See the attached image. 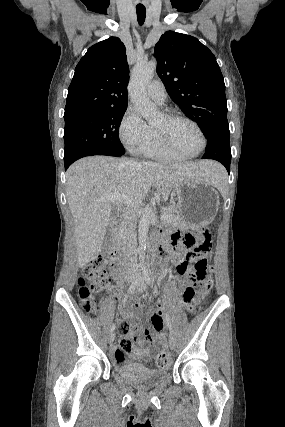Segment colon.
I'll list each match as a JSON object with an SVG mask.
<instances>
[{"instance_id": "obj_1", "label": "colon", "mask_w": 285, "mask_h": 427, "mask_svg": "<svg viewBox=\"0 0 285 427\" xmlns=\"http://www.w3.org/2000/svg\"><path fill=\"white\" fill-rule=\"evenodd\" d=\"M184 245L187 248H192L200 253H209L210 237L208 234L200 232H190L184 237ZM114 269V263L107 257H99L82 268V272L78 278L79 285V300L82 308L87 313H96L98 305L95 296L106 291L110 285L109 272ZM180 269L184 273H189L191 269L196 272L195 281L189 277L185 282V301L189 303H200L203 298L210 292L212 287L211 278H206V263L204 261H196L194 263L184 262ZM116 328L120 333V338L117 342V350L128 357H132L138 353L141 348L127 336L129 327L126 321H119ZM169 363V356L165 352H161L156 357V364L160 367H165Z\"/></svg>"}]
</instances>
